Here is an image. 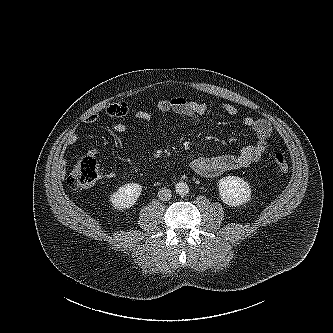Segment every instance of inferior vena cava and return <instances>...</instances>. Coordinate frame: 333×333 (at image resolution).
<instances>
[{"instance_id":"602c4592","label":"inferior vena cava","mask_w":333,"mask_h":333,"mask_svg":"<svg viewBox=\"0 0 333 333\" xmlns=\"http://www.w3.org/2000/svg\"><path fill=\"white\" fill-rule=\"evenodd\" d=\"M171 191L167 188H161L158 191V198L161 201H168L171 198Z\"/></svg>"}]
</instances>
